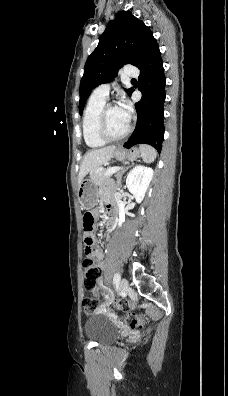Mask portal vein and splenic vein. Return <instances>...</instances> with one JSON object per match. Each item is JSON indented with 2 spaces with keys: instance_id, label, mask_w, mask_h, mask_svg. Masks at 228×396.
I'll list each match as a JSON object with an SVG mask.
<instances>
[{
  "instance_id": "18ae733b",
  "label": "portal vein and splenic vein",
  "mask_w": 228,
  "mask_h": 396,
  "mask_svg": "<svg viewBox=\"0 0 228 396\" xmlns=\"http://www.w3.org/2000/svg\"><path fill=\"white\" fill-rule=\"evenodd\" d=\"M120 169H122V168L118 167V166L110 167L107 169L105 176H110V175L114 174L115 172L119 171Z\"/></svg>"
}]
</instances>
